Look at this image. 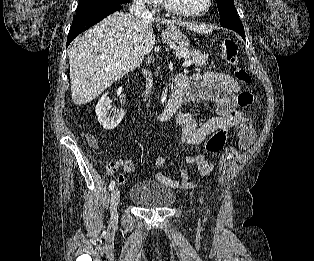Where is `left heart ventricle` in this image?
<instances>
[{
    "mask_svg": "<svg viewBox=\"0 0 314 261\" xmlns=\"http://www.w3.org/2000/svg\"><path fill=\"white\" fill-rule=\"evenodd\" d=\"M179 8L188 12H198L205 8L207 0H171Z\"/></svg>",
    "mask_w": 314,
    "mask_h": 261,
    "instance_id": "1",
    "label": "left heart ventricle"
}]
</instances>
